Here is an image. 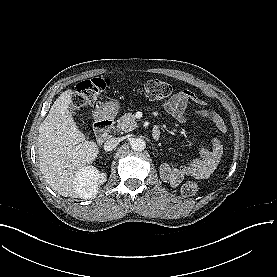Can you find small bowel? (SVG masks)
I'll return each mask as SVG.
<instances>
[{
  "label": "small bowel",
  "mask_w": 277,
  "mask_h": 277,
  "mask_svg": "<svg viewBox=\"0 0 277 277\" xmlns=\"http://www.w3.org/2000/svg\"><path fill=\"white\" fill-rule=\"evenodd\" d=\"M189 103H193L199 107L196 111L198 116L209 119L220 132L224 133L227 131V126L223 119L214 111L204 108L206 103L190 90H182L176 93L172 98L163 103V107L176 120L183 121ZM211 148V151H209L206 147H202L205 160L188 161L183 166L184 175H194L197 177L209 176L213 171L215 163L223 153V146L218 141H214Z\"/></svg>",
  "instance_id": "obj_1"
}]
</instances>
